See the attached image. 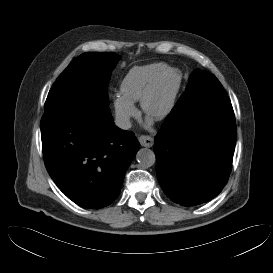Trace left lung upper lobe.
Returning a JSON list of instances; mask_svg holds the SVG:
<instances>
[{"label": "left lung upper lobe", "instance_id": "obj_1", "mask_svg": "<svg viewBox=\"0 0 273 273\" xmlns=\"http://www.w3.org/2000/svg\"><path fill=\"white\" fill-rule=\"evenodd\" d=\"M215 82L220 85V90H224L218 79L211 73L196 69L189 77V81L185 92L181 95L175 106L183 105L184 103L193 99L199 92L208 91V85Z\"/></svg>", "mask_w": 273, "mask_h": 273}]
</instances>
